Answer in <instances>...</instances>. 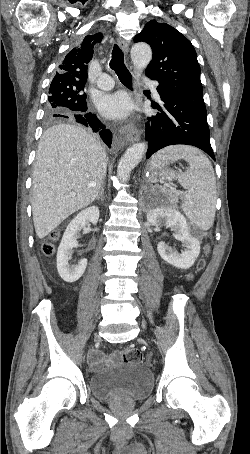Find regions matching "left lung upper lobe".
Masks as SVG:
<instances>
[{
  "label": "left lung upper lobe",
  "mask_w": 250,
  "mask_h": 454,
  "mask_svg": "<svg viewBox=\"0 0 250 454\" xmlns=\"http://www.w3.org/2000/svg\"><path fill=\"white\" fill-rule=\"evenodd\" d=\"M146 42L153 51L146 74L168 89L203 91L200 67L191 42L166 23L149 21L134 42Z\"/></svg>",
  "instance_id": "obj_1"
}]
</instances>
